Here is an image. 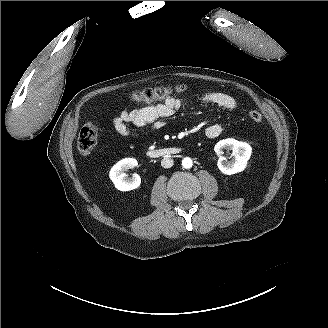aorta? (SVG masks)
Segmentation results:
<instances>
[{"instance_id": "obj_1", "label": "aorta", "mask_w": 328, "mask_h": 328, "mask_svg": "<svg viewBox=\"0 0 328 328\" xmlns=\"http://www.w3.org/2000/svg\"><path fill=\"white\" fill-rule=\"evenodd\" d=\"M193 165V162H192V159L189 158V157H185L183 160H182V166L186 169H189L191 168Z\"/></svg>"}]
</instances>
